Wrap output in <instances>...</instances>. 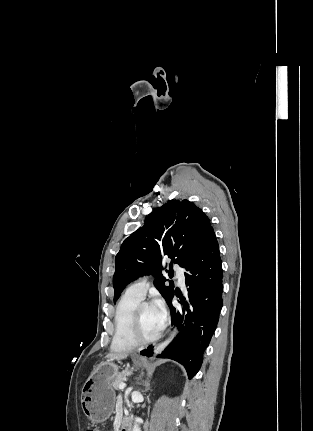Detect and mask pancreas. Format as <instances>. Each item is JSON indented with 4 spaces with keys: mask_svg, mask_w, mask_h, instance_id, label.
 Listing matches in <instances>:
<instances>
[{
    "mask_svg": "<svg viewBox=\"0 0 313 431\" xmlns=\"http://www.w3.org/2000/svg\"><path fill=\"white\" fill-rule=\"evenodd\" d=\"M129 374L130 373L126 371L115 377V379L112 382V385L115 390H119V385L126 380V376H128Z\"/></svg>",
    "mask_w": 313,
    "mask_h": 431,
    "instance_id": "cf45deb5",
    "label": "pancreas"
}]
</instances>
